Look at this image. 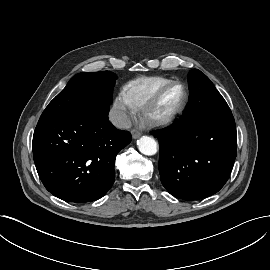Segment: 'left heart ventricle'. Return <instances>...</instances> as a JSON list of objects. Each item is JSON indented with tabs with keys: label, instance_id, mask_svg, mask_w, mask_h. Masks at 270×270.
Instances as JSON below:
<instances>
[{
	"label": "left heart ventricle",
	"instance_id": "left-heart-ventricle-1",
	"mask_svg": "<svg viewBox=\"0 0 270 270\" xmlns=\"http://www.w3.org/2000/svg\"><path fill=\"white\" fill-rule=\"evenodd\" d=\"M181 89L179 87H173L169 89L161 102V109H165L176 104L181 98Z\"/></svg>",
	"mask_w": 270,
	"mask_h": 270
}]
</instances>
